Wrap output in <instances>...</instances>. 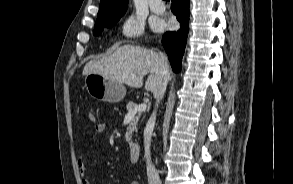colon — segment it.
<instances>
[{
    "instance_id": "obj_1",
    "label": "colon",
    "mask_w": 293,
    "mask_h": 184,
    "mask_svg": "<svg viewBox=\"0 0 293 184\" xmlns=\"http://www.w3.org/2000/svg\"><path fill=\"white\" fill-rule=\"evenodd\" d=\"M88 119H89V121H91V122H95V120H96V116H95L94 112L90 111V112L88 113Z\"/></svg>"
}]
</instances>
